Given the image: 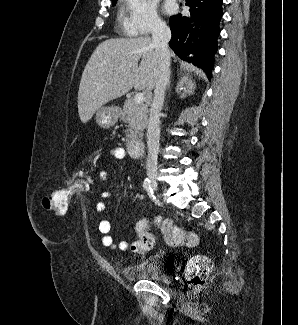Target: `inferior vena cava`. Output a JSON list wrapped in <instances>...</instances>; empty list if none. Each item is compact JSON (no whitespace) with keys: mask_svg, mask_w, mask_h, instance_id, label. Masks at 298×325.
<instances>
[{"mask_svg":"<svg viewBox=\"0 0 298 325\" xmlns=\"http://www.w3.org/2000/svg\"><path fill=\"white\" fill-rule=\"evenodd\" d=\"M170 38L171 30L169 26H167L163 20L155 18L152 28V44L157 52L158 70L147 130L148 154L146 160V175L148 179H157V158L160 138L159 116L163 106L165 88L170 72V50L168 46Z\"/></svg>","mask_w":298,"mask_h":325,"instance_id":"obj_1","label":"inferior vena cava"}]
</instances>
